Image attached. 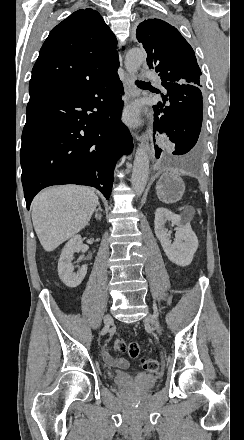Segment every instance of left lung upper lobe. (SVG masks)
<instances>
[{
  "label": "left lung upper lobe",
  "instance_id": "left-lung-upper-lobe-1",
  "mask_svg": "<svg viewBox=\"0 0 244 440\" xmlns=\"http://www.w3.org/2000/svg\"><path fill=\"white\" fill-rule=\"evenodd\" d=\"M147 52L149 68L155 69L162 82L200 85L202 74L189 43L180 32L161 19L141 22L136 31Z\"/></svg>",
  "mask_w": 244,
  "mask_h": 440
}]
</instances>
